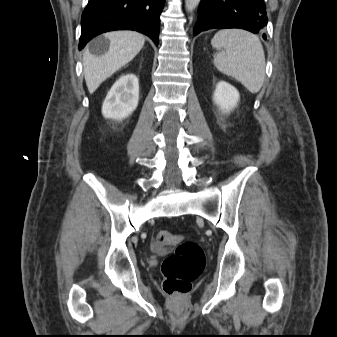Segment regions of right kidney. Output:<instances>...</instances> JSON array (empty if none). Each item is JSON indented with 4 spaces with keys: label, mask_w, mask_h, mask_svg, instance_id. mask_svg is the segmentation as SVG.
Masks as SVG:
<instances>
[{
    "label": "right kidney",
    "mask_w": 337,
    "mask_h": 337,
    "mask_svg": "<svg viewBox=\"0 0 337 337\" xmlns=\"http://www.w3.org/2000/svg\"><path fill=\"white\" fill-rule=\"evenodd\" d=\"M139 101V83L134 74L122 75L111 87L103 105L105 118L122 120L137 108Z\"/></svg>",
    "instance_id": "obj_1"
}]
</instances>
